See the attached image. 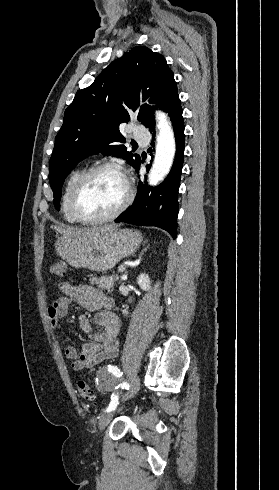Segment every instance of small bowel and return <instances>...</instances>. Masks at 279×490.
<instances>
[{
  "label": "small bowel",
  "instance_id": "small-bowel-1",
  "mask_svg": "<svg viewBox=\"0 0 279 490\" xmlns=\"http://www.w3.org/2000/svg\"><path fill=\"white\" fill-rule=\"evenodd\" d=\"M60 289L63 295L47 311L54 331L60 330L59 320L67 314L71 303H77L93 314L92 318L87 315L79 317L80 328L92 337L93 342L85 345L80 354L71 345L65 348V355L72 369L79 371L115 358L119 352L121 321L113 312L114 299L91 285L75 286L64 282L60 284Z\"/></svg>",
  "mask_w": 279,
  "mask_h": 490
}]
</instances>
